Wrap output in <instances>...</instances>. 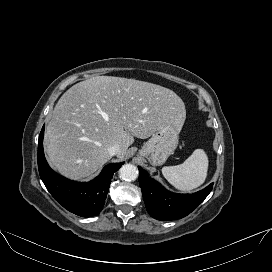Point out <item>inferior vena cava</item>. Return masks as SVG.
Here are the masks:
<instances>
[{
    "label": "inferior vena cava",
    "mask_w": 272,
    "mask_h": 272,
    "mask_svg": "<svg viewBox=\"0 0 272 272\" xmlns=\"http://www.w3.org/2000/svg\"><path fill=\"white\" fill-rule=\"evenodd\" d=\"M120 151V146L114 144L108 148V152L111 156L116 155Z\"/></svg>",
    "instance_id": "inferior-vena-cava-1"
}]
</instances>
